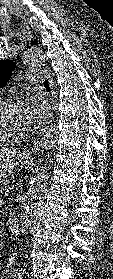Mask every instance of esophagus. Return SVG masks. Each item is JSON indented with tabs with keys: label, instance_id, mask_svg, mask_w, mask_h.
<instances>
[{
	"label": "esophagus",
	"instance_id": "34e87169",
	"mask_svg": "<svg viewBox=\"0 0 113 279\" xmlns=\"http://www.w3.org/2000/svg\"><path fill=\"white\" fill-rule=\"evenodd\" d=\"M46 76L48 78L50 90H51V109H50V112L48 113L46 119L43 122V126H45L46 124H48L51 121V119L53 117V110H54L55 84H54L53 78L49 74H47ZM40 146H41V143L39 141V137H37V139L33 142V144L30 145L29 148L24 150L23 154L26 156H33L40 150Z\"/></svg>",
	"mask_w": 113,
	"mask_h": 279
}]
</instances>
